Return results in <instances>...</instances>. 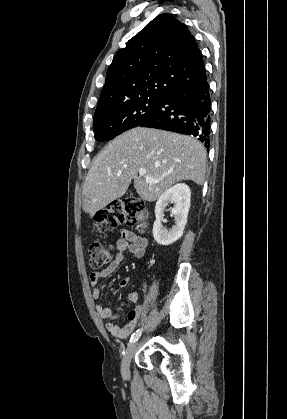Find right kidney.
<instances>
[{"mask_svg": "<svg viewBox=\"0 0 287 419\" xmlns=\"http://www.w3.org/2000/svg\"><path fill=\"white\" fill-rule=\"evenodd\" d=\"M190 197V188L184 183L174 185L159 197L155 206L156 220L153 225V236L158 244L168 246L183 235L190 208ZM169 203L174 204L171 213L174 216L175 225L167 230L162 225V219L164 209Z\"/></svg>", "mask_w": 287, "mask_h": 419, "instance_id": "ca27d5eb", "label": "right kidney"}]
</instances>
